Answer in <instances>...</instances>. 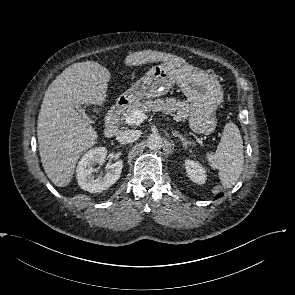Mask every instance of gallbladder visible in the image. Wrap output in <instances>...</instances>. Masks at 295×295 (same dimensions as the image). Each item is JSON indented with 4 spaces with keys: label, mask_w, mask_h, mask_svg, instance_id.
Wrapping results in <instances>:
<instances>
[{
    "label": "gallbladder",
    "mask_w": 295,
    "mask_h": 295,
    "mask_svg": "<svg viewBox=\"0 0 295 295\" xmlns=\"http://www.w3.org/2000/svg\"><path fill=\"white\" fill-rule=\"evenodd\" d=\"M77 110H78V112H79L81 115H83L84 117H86V114H85V111H84L83 108L78 107Z\"/></svg>",
    "instance_id": "1"
}]
</instances>
